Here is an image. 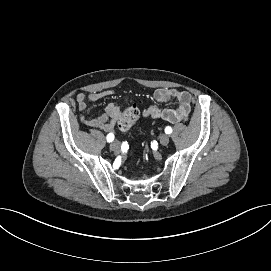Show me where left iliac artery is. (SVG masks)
<instances>
[{
    "instance_id": "44dca946",
    "label": "left iliac artery",
    "mask_w": 271,
    "mask_h": 271,
    "mask_svg": "<svg viewBox=\"0 0 271 271\" xmlns=\"http://www.w3.org/2000/svg\"><path fill=\"white\" fill-rule=\"evenodd\" d=\"M165 133H166V134H171V133H172V128L169 127V126H167V127L165 128Z\"/></svg>"
}]
</instances>
